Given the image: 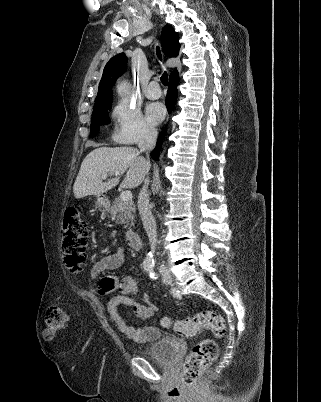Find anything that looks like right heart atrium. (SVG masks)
I'll use <instances>...</instances> for the list:
<instances>
[{"instance_id":"right-heart-atrium-1","label":"right heart atrium","mask_w":321,"mask_h":402,"mask_svg":"<svg viewBox=\"0 0 321 402\" xmlns=\"http://www.w3.org/2000/svg\"><path fill=\"white\" fill-rule=\"evenodd\" d=\"M114 123L113 138L121 144L136 145L151 142L156 131L140 110L128 101L118 102L111 112Z\"/></svg>"}]
</instances>
